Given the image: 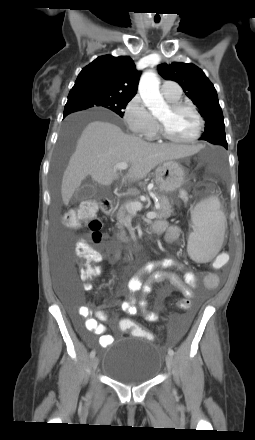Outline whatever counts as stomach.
Returning a JSON list of instances; mask_svg holds the SVG:
<instances>
[{"mask_svg": "<svg viewBox=\"0 0 255 440\" xmlns=\"http://www.w3.org/2000/svg\"><path fill=\"white\" fill-rule=\"evenodd\" d=\"M184 180V168L174 160L163 162L155 171V183L162 193L177 190L183 185Z\"/></svg>", "mask_w": 255, "mask_h": 440, "instance_id": "obj_1", "label": "stomach"}]
</instances>
